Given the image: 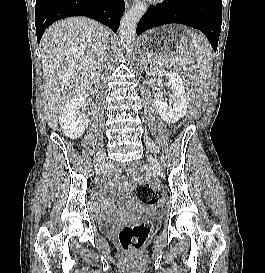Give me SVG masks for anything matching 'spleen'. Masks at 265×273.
I'll use <instances>...</instances> for the list:
<instances>
[{"label":"spleen","mask_w":265,"mask_h":273,"mask_svg":"<svg viewBox=\"0 0 265 273\" xmlns=\"http://www.w3.org/2000/svg\"><path fill=\"white\" fill-rule=\"evenodd\" d=\"M195 48L197 65L200 68V75L203 79H208L211 75L212 49L209 43L199 34L192 30H187Z\"/></svg>","instance_id":"obj_1"}]
</instances>
